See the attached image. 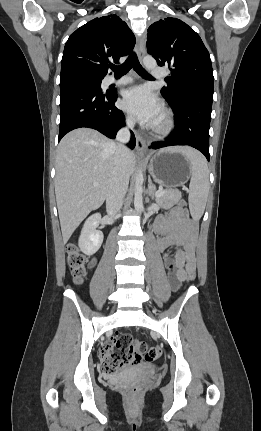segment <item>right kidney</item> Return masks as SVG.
I'll return each instance as SVG.
<instances>
[{
  "mask_svg": "<svg viewBox=\"0 0 261 431\" xmlns=\"http://www.w3.org/2000/svg\"><path fill=\"white\" fill-rule=\"evenodd\" d=\"M100 219V214H94L89 217L86 220L79 237L78 245L80 250L88 256L95 254L103 242V233L96 230Z\"/></svg>",
  "mask_w": 261,
  "mask_h": 431,
  "instance_id": "ca27d5eb",
  "label": "right kidney"
}]
</instances>
